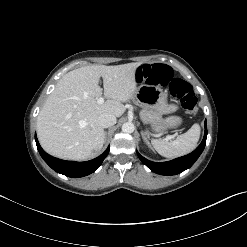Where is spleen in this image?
Here are the masks:
<instances>
[{"label": "spleen", "mask_w": 247, "mask_h": 247, "mask_svg": "<svg viewBox=\"0 0 247 247\" xmlns=\"http://www.w3.org/2000/svg\"><path fill=\"white\" fill-rule=\"evenodd\" d=\"M200 137V126L195 123L186 133L179 135L175 140L153 139L155 150L167 158H176L186 155L196 148Z\"/></svg>", "instance_id": "3e777b00"}]
</instances>
